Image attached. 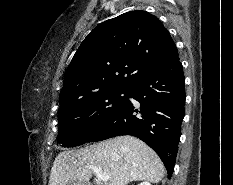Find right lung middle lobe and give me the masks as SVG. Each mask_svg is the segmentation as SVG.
I'll return each instance as SVG.
<instances>
[{"label":"right lung middle lobe","instance_id":"right-lung-middle-lobe-1","mask_svg":"<svg viewBox=\"0 0 233 185\" xmlns=\"http://www.w3.org/2000/svg\"><path fill=\"white\" fill-rule=\"evenodd\" d=\"M127 89H108L78 99L58 114V142L64 147L84 144L125 102Z\"/></svg>","mask_w":233,"mask_h":185}]
</instances>
